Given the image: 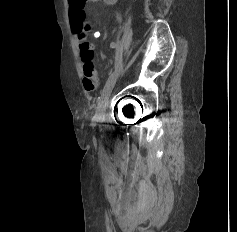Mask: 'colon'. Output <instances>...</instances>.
I'll use <instances>...</instances> for the list:
<instances>
[{
    "instance_id": "colon-1",
    "label": "colon",
    "mask_w": 237,
    "mask_h": 232,
    "mask_svg": "<svg viewBox=\"0 0 237 232\" xmlns=\"http://www.w3.org/2000/svg\"><path fill=\"white\" fill-rule=\"evenodd\" d=\"M86 2L87 0H69L71 26L77 35H85L90 31L84 12Z\"/></svg>"
}]
</instances>
